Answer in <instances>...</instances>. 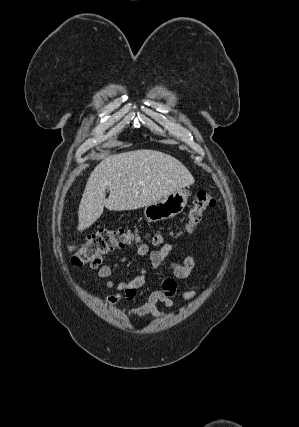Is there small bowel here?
Segmentation results:
<instances>
[{
  "label": "small bowel",
  "mask_w": 299,
  "mask_h": 427,
  "mask_svg": "<svg viewBox=\"0 0 299 427\" xmlns=\"http://www.w3.org/2000/svg\"><path fill=\"white\" fill-rule=\"evenodd\" d=\"M170 251L171 246L167 243L156 250H151L145 243H140L137 246V254L139 256H148L154 269H159L168 261ZM124 260L123 258L122 261ZM91 267L96 270L97 277L100 280L108 279L117 268L116 265H104L101 261ZM169 267L172 276L159 278L158 275L155 274L154 279L158 283L159 288L152 291L141 306L127 309V314L138 318L150 315L162 318L165 316V312L158 309V303H163L168 308L175 307L173 297L177 290L176 280H184L190 277V275L198 269V259L194 256H187L180 262H170ZM145 282L146 271L144 269H141L140 273L130 281L117 283L109 281L107 285L114 288L117 292L108 296L105 302L112 306L118 305L121 301L132 302L136 299L138 290ZM196 294V289L187 290L182 294L180 301H190L195 298Z\"/></svg>",
  "instance_id": "obj_1"
}]
</instances>
